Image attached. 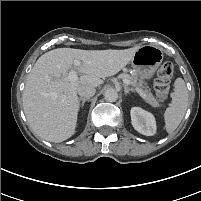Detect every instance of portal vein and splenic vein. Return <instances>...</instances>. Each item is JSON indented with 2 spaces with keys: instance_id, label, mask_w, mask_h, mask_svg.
Wrapping results in <instances>:
<instances>
[{
  "instance_id": "portal-vein-and-splenic-vein-1",
  "label": "portal vein and splenic vein",
  "mask_w": 201,
  "mask_h": 201,
  "mask_svg": "<svg viewBox=\"0 0 201 201\" xmlns=\"http://www.w3.org/2000/svg\"><path fill=\"white\" fill-rule=\"evenodd\" d=\"M74 65L78 67V66L81 65V63H80V61L76 60V61L74 62ZM67 78H68V80H70V81H76V80L78 79L77 71H76V70H71V71H69ZM123 82H124V84H126V85H129V84H130V82H129L128 80H123ZM135 91H136L143 99H146L147 96H146V94H145L141 89L136 88Z\"/></svg>"
}]
</instances>
